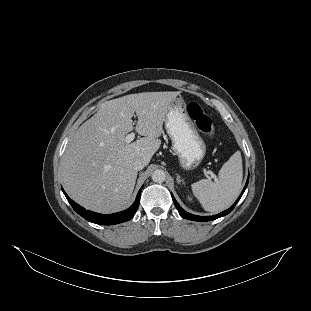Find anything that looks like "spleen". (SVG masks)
Returning a JSON list of instances; mask_svg holds the SVG:
<instances>
[{
    "instance_id": "obj_1",
    "label": "spleen",
    "mask_w": 311,
    "mask_h": 311,
    "mask_svg": "<svg viewBox=\"0 0 311 311\" xmlns=\"http://www.w3.org/2000/svg\"><path fill=\"white\" fill-rule=\"evenodd\" d=\"M243 168L241 152L236 151L219 171V178L212 182L202 179L191 185L194 196L209 212L227 209L242 189Z\"/></svg>"
}]
</instances>
